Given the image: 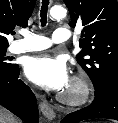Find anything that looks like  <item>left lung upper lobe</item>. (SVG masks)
Returning <instances> with one entry per match:
<instances>
[{"label":"left lung upper lobe","instance_id":"left-lung-upper-lobe-1","mask_svg":"<svg viewBox=\"0 0 118 123\" xmlns=\"http://www.w3.org/2000/svg\"><path fill=\"white\" fill-rule=\"evenodd\" d=\"M73 28L82 29L77 61L95 90L118 76V2L116 0H64Z\"/></svg>","mask_w":118,"mask_h":123}]
</instances>
